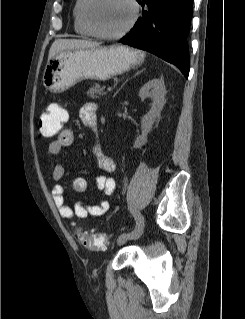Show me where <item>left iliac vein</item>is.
Listing matches in <instances>:
<instances>
[{"label":"left iliac vein","mask_w":245,"mask_h":319,"mask_svg":"<svg viewBox=\"0 0 245 319\" xmlns=\"http://www.w3.org/2000/svg\"><path fill=\"white\" fill-rule=\"evenodd\" d=\"M142 232V231H141ZM141 232H136L132 235H127V233H122L119 237H118V240H117V244L119 246L123 245L124 243H126L129 239H133V238H136L138 237Z\"/></svg>","instance_id":"4c4485c4"}]
</instances>
